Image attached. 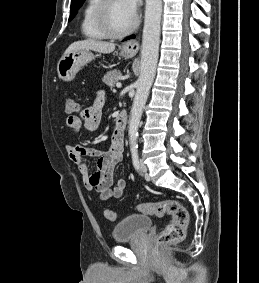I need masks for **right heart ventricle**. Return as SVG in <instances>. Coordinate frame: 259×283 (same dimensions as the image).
Wrapping results in <instances>:
<instances>
[{
	"instance_id": "right-heart-ventricle-1",
	"label": "right heart ventricle",
	"mask_w": 259,
	"mask_h": 283,
	"mask_svg": "<svg viewBox=\"0 0 259 283\" xmlns=\"http://www.w3.org/2000/svg\"><path fill=\"white\" fill-rule=\"evenodd\" d=\"M101 0H87L83 10L81 31L88 39H104L106 36L101 32L97 23V11Z\"/></svg>"
}]
</instances>
